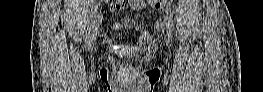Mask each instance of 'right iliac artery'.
Instances as JSON below:
<instances>
[{"label":"right iliac artery","mask_w":263,"mask_h":92,"mask_svg":"<svg viewBox=\"0 0 263 92\" xmlns=\"http://www.w3.org/2000/svg\"><path fill=\"white\" fill-rule=\"evenodd\" d=\"M100 19H101L100 9H99V7H97V4H94L92 22L90 24L89 31H88V33L86 35V39H85V47L86 48H89L90 39L92 36V31H93V29L97 28V25H98L97 21Z\"/></svg>","instance_id":"82829eb1"}]
</instances>
